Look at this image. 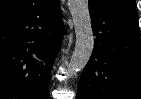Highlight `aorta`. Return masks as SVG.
Masks as SVG:
<instances>
[{
	"mask_svg": "<svg viewBox=\"0 0 141 99\" xmlns=\"http://www.w3.org/2000/svg\"><path fill=\"white\" fill-rule=\"evenodd\" d=\"M76 34V44L68 64V72L72 77L84 69L94 48V38L89 14L88 0H68Z\"/></svg>",
	"mask_w": 141,
	"mask_h": 99,
	"instance_id": "762f6f07",
	"label": "aorta"
}]
</instances>
